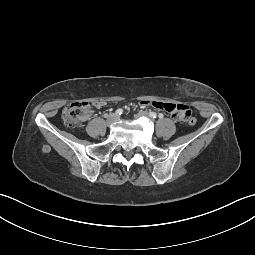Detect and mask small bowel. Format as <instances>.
Instances as JSON below:
<instances>
[{
  "label": "small bowel",
  "mask_w": 255,
  "mask_h": 255,
  "mask_svg": "<svg viewBox=\"0 0 255 255\" xmlns=\"http://www.w3.org/2000/svg\"><path fill=\"white\" fill-rule=\"evenodd\" d=\"M143 106H152L157 110H164L171 114L174 121H181L188 119L191 116V109L184 104H172L160 101H142ZM104 105L103 102H97L96 107L100 108Z\"/></svg>",
  "instance_id": "obj_1"
}]
</instances>
